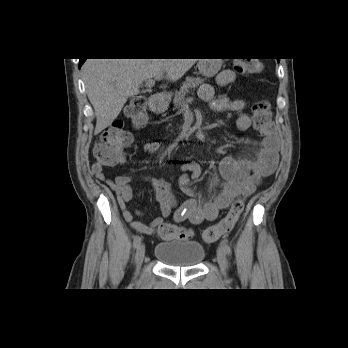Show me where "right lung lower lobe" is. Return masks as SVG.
<instances>
[{
	"label": "right lung lower lobe",
	"mask_w": 348,
	"mask_h": 348,
	"mask_svg": "<svg viewBox=\"0 0 348 348\" xmlns=\"http://www.w3.org/2000/svg\"><path fill=\"white\" fill-rule=\"evenodd\" d=\"M85 60L86 59H80V61H79V68L82 66V64L84 63Z\"/></svg>",
	"instance_id": "98d812e1"
}]
</instances>
